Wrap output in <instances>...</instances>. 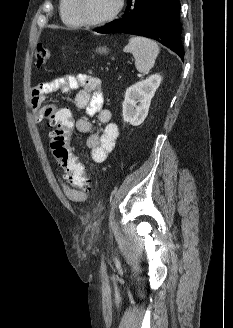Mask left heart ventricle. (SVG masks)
<instances>
[{
  "label": "left heart ventricle",
  "instance_id": "left-heart-ventricle-1",
  "mask_svg": "<svg viewBox=\"0 0 233 328\" xmlns=\"http://www.w3.org/2000/svg\"><path fill=\"white\" fill-rule=\"evenodd\" d=\"M117 0H81V12L89 21H98L109 16L116 7Z\"/></svg>",
  "mask_w": 233,
  "mask_h": 328
}]
</instances>
